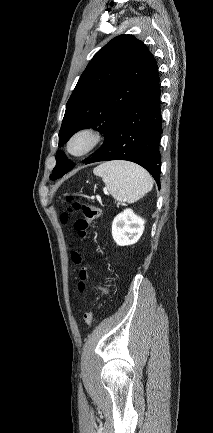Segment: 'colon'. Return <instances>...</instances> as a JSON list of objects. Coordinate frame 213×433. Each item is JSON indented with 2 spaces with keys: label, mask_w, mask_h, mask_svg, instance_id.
Wrapping results in <instances>:
<instances>
[{
  "label": "colon",
  "mask_w": 213,
  "mask_h": 433,
  "mask_svg": "<svg viewBox=\"0 0 213 433\" xmlns=\"http://www.w3.org/2000/svg\"><path fill=\"white\" fill-rule=\"evenodd\" d=\"M66 200L70 202V206L68 207V211L71 212L73 210H81L82 217L76 220L74 224V229L77 232L78 236L85 240L88 238L89 228L91 224L100 216V209L89 203L79 202L75 200V197L72 194H68L66 196ZM63 223L67 221V213H64L61 217ZM72 259L76 264H82V257L78 253H73ZM104 271L101 270V274ZM88 269L86 266H82L79 273V281L77 284V289L79 292H82L85 289V281L88 278ZM98 294L100 297L105 296L109 292V281L106 280L105 283L98 285ZM94 319V313L92 310H89L84 314V322L87 325H91Z\"/></svg>",
  "instance_id": "colon-1"
}]
</instances>
